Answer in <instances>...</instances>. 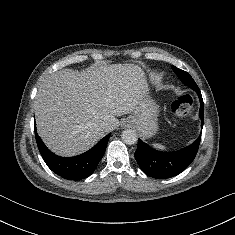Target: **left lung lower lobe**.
<instances>
[{
    "label": "left lung lower lobe",
    "mask_w": 235,
    "mask_h": 235,
    "mask_svg": "<svg viewBox=\"0 0 235 235\" xmlns=\"http://www.w3.org/2000/svg\"><path fill=\"white\" fill-rule=\"evenodd\" d=\"M183 82L187 86L192 85L185 79ZM195 91L200 99L199 117L201 119V127H203V99L199 88H196ZM200 140L201 135L191 145L181 150L160 152L138 139V146L134 156L141 170L146 175L157 179H166L178 175L192 163L197 154Z\"/></svg>",
    "instance_id": "0a47b994"
}]
</instances>
